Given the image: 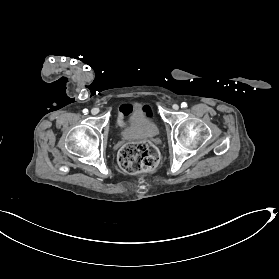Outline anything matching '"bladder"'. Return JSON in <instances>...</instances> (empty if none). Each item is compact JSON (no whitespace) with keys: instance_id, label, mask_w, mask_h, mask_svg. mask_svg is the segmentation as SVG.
Listing matches in <instances>:
<instances>
[{"instance_id":"1","label":"bladder","mask_w":279,"mask_h":279,"mask_svg":"<svg viewBox=\"0 0 279 279\" xmlns=\"http://www.w3.org/2000/svg\"><path fill=\"white\" fill-rule=\"evenodd\" d=\"M130 115L123 120V130L120 132L125 138H152L159 132V125L155 119L146 114L145 109L131 108Z\"/></svg>"}]
</instances>
